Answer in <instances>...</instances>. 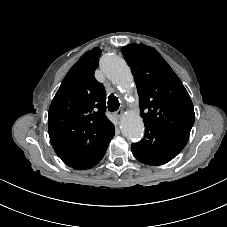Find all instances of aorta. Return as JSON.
<instances>
[{
	"label": "aorta",
	"mask_w": 227,
	"mask_h": 227,
	"mask_svg": "<svg viewBox=\"0 0 227 227\" xmlns=\"http://www.w3.org/2000/svg\"><path fill=\"white\" fill-rule=\"evenodd\" d=\"M104 74L129 93L133 85V76L127 63L115 54H106L100 61ZM122 133L128 139H139L143 136L144 123L138 113L128 112L121 119Z\"/></svg>",
	"instance_id": "762f6f07"
}]
</instances>
